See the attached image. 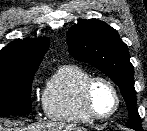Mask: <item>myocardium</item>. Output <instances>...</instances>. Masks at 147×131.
<instances>
[{
  "mask_svg": "<svg viewBox=\"0 0 147 131\" xmlns=\"http://www.w3.org/2000/svg\"><path fill=\"white\" fill-rule=\"evenodd\" d=\"M97 82L106 83L111 88V90L113 91L114 96H115L114 108L112 109L111 112L104 114V115L98 114L94 110L93 105H92V100H91L92 89H93V86ZM82 101H83V106H84L85 112L92 120L103 121V120H107V119L111 118L118 111V109L120 108V105H121V96H120V92H119L117 86L115 85V83L111 79H109L108 77H105V76L97 75V76H91L85 82L83 89H82Z\"/></svg>",
  "mask_w": 147,
  "mask_h": 131,
  "instance_id": "1",
  "label": "myocardium"
}]
</instances>
